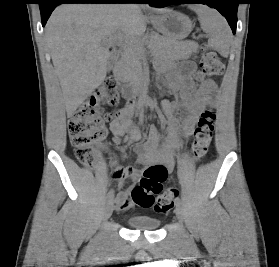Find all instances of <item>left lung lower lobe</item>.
Wrapping results in <instances>:
<instances>
[{
	"label": "left lung lower lobe",
	"mask_w": 279,
	"mask_h": 267,
	"mask_svg": "<svg viewBox=\"0 0 279 267\" xmlns=\"http://www.w3.org/2000/svg\"><path fill=\"white\" fill-rule=\"evenodd\" d=\"M145 3H149L155 7H164L171 4L180 3H200L208 4L209 6L217 9L227 19L233 33L236 32L237 25V9L239 0H147Z\"/></svg>",
	"instance_id": "obj_1"
}]
</instances>
